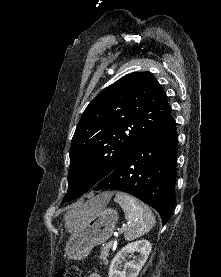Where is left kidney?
Segmentation results:
<instances>
[{
    "label": "left kidney",
    "instance_id": "obj_1",
    "mask_svg": "<svg viewBox=\"0 0 221 277\" xmlns=\"http://www.w3.org/2000/svg\"><path fill=\"white\" fill-rule=\"evenodd\" d=\"M139 252L138 258L125 262V258ZM151 252V243L148 240H138L124 246L113 258L109 268V277H137L144 266L149 253ZM123 267V269H122Z\"/></svg>",
    "mask_w": 221,
    "mask_h": 277
}]
</instances>
